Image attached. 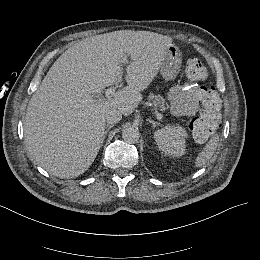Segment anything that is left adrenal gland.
I'll return each instance as SVG.
<instances>
[{
    "label": "left adrenal gland",
    "instance_id": "a2214340",
    "mask_svg": "<svg viewBox=\"0 0 260 260\" xmlns=\"http://www.w3.org/2000/svg\"><path fill=\"white\" fill-rule=\"evenodd\" d=\"M147 121L153 125V129H156L157 127H164L163 124L157 123L153 120L148 119Z\"/></svg>",
    "mask_w": 260,
    "mask_h": 260
}]
</instances>
